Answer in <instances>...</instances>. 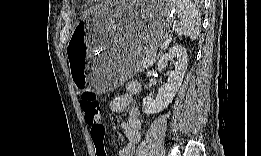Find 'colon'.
I'll return each instance as SVG.
<instances>
[{
  "label": "colon",
  "instance_id": "5ec220e1",
  "mask_svg": "<svg viewBox=\"0 0 261 156\" xmlns=\"http://www.w3.org/2000/svg\"><path fill=\"white\" fill-rule=\"evenodd\" d=\"M85 121L92 127L91 137L97 154L104 155L105 128L100 124L102 116V106L94 93H83L80 100Z\"/></svg>",
  "mask_w": 261,
  "mask_h": 156
}]
</instances>
